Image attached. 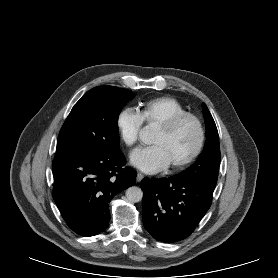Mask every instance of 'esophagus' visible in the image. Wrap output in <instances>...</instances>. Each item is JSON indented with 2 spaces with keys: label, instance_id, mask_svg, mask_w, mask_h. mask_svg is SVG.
<instances>
[{
  "label": "esophagus",
  "instance_id": "34e87169",
  "mask_svg": "<svg viewBox=\"0 0 278 278\" xmlns=\"http://www.w3.org/2000/svg\"><path fill=\"white\" fill-rule=\"evenodd\" d=\"M143 178H144V175L142 173L138 172L137 177H136L137 182H141L143 180Z\"/></svg>",
  "mask_w": 278,
  "mask_h": 278
}]
</instances>
